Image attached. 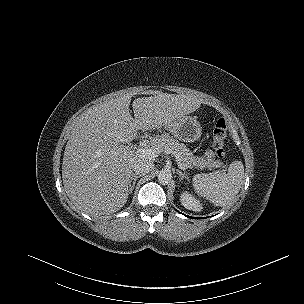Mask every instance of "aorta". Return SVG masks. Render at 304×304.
<instances>
[{
    "mask_svg": "<svg viewBox=\"0 0 304 304\" xmlns=\"http://www.w3.org/2000/svg\"><path fill=\"white\" fill-rule=\"evenodd\" d=\"M172 174L169 170L162 169L158 173V181L160 184H168L171 181Z\"/></svg>",
    "mask_w": 304,
    "mask_h": 304,
    "instance_id": "762f6f07",
    "label": "aorta"
}]
</instances>
